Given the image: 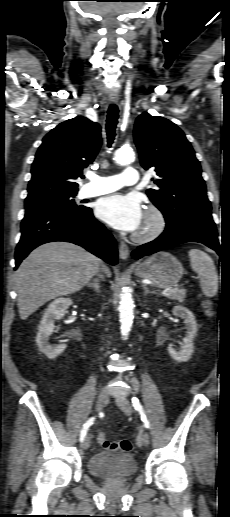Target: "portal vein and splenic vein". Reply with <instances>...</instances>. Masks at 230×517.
<instances>
[{"label":"portal vein and splenic vein","instance_id":"obj_1","mask_svg":"<svg viewBox=\"0 0 230 517\" xmlns=\"http://www.w3.org/2000/svg\"><path fill=\"white\" fill-rule=\"evenodd\" d=\"M176 291H178V288L175 287V288H172L170 290H168L165 295H172L173 293H175Z\"/></svg>","mask_w":230,"mask_h":517}]
</instances>
